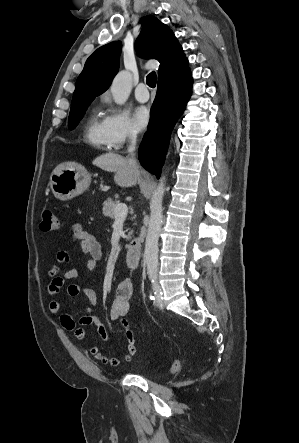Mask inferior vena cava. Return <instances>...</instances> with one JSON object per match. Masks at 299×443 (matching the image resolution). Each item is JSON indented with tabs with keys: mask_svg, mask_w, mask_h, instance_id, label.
I'll list each match as a JSON object with an SVG mask.
<instances>
[{
	"mask_svg": "<svg viewBox=\"0 0 299 443\" xmlns=\"http://www.w3.org/2000/svg\"><path fill=\"white\" fill-rule=\"evenodd\" d=\"M128 135H129V138H130V140H131V144H130V146H129V148H128V152L130 153V160L132 161V162H134V163H136V160H135V158H134V150H135V145H136V137H137V135H136V132H134V131H132V130H130L129 132H128Z\"/></svg>",
	"mask_w": 299,
	"mask_h": 443,
	"instance_id": "602c4592",
	"label": "inferior vena cava"
}]
</instances>
